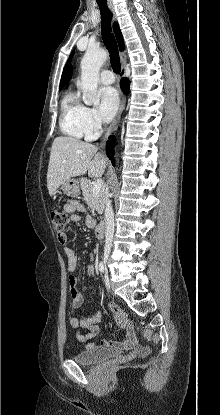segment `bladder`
<instances>
[{
  "label": "bladder",
  "instance_id": "obj_1",
  "mask_svg": "<svg viewBox=\"0 0 220 415\" xmlns=\"http://www.w3.org/2000/svg\"><path fill=\"white\" fill-rule=\"evenodd\" d=\"M119 354L118 351H111L98 347L86 348L74 355L73 359L80 364H94L110 358H114Z\"/></svg>",
  "mask_w": 220,
  "mask_h": 415
}]
</instances>
